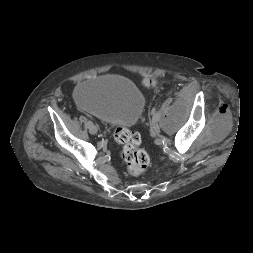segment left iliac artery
<instances>
[{
    "label": "left iliac artery",
    "instance_id": "1",
    "mask_svg": "<svg viewBox=\"0 0 253 253\" xmlns=\"http://www.w3.org/2000/svg\"><path fill=\"white\" fill-rule=\"evenodd\" d=\"M152 115H153L152 117L153 122L157 123L160 120L161 117L160 114L156 112V109H153Z\"/></svg>",
    "mask_w": 253,
    "mask_h": 253
}]
</instances>
